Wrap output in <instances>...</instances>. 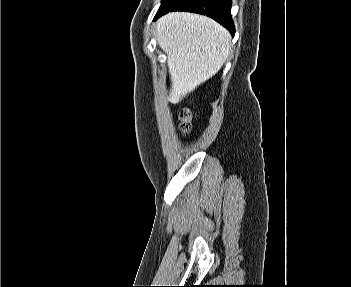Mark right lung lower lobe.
I'll return each instance as SVG.
<instances>
[{"instance_id": "1", "label": "right lung lower lobe", "mask_w": 351, "mask_h": 287, "mask_svg": "<svg viewBox=\"0 0 351 287\" xmlns=\"http://www.w3.org/2000/svg\"><path fill=\"white\" fill-rule=\"evenodd\" d=\"M231 0H163L154 20L169 11H188L206 15L224 27L232 36L235 27L230 14Z\"/></svg>"}]
</instances>
